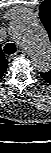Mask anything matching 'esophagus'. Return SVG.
Here are the masks:
<instances>
[{
  "label": "esophagus",
  "mask_w": 51,
  "mask_h": 153,
  "mask_svg": "<svg viewBox=\"0 0 51 153\" xmlns=\"http://www.w3.org/2000/svg\"><path fill=\"white\" fill-rule=\"evenodd\" d=\"M24 55H25V52L23 50H19L14 54V57H21Z\"/></svg>",
  "instance_id": "obj_1"
}]
</instances>
